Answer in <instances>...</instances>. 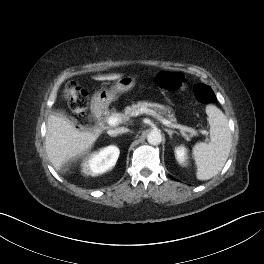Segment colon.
I'll return each mask as SVG.
<instances>
[{
  "label": "colon",
  "mask_w": 264,
  "mask_h": 264,
  "mask_svg": "<svg viewBox=\"0 0 264 264\" xmlns=\"http://www.w3.org/2000/svg\"><path fill=\"white\" fill-rule=\"evenodd\" d=\"M156 82L159 87L170 92H181L186 86V79L179 72H161L157 75ZM67 95L74 113V119L78 126L88 124L86 109L88 105L87 93L77 84L72 83L67 88ZM193 95L199 103H211L215 96L213 90L205 84H197L193 89Z\"/></svg>",
  "instance_id": "colon-1"
}]
</instances>
